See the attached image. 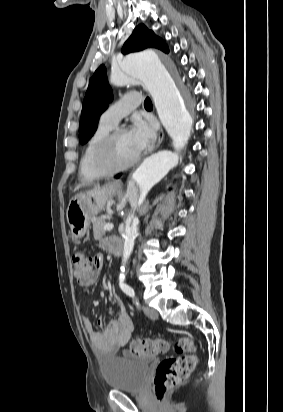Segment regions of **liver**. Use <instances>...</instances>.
<instances>
[{
    "label": "liver",
    "instance_id": "1",
    "mask_svg": "<svg viewBox=\"0 0 283 412\" xmlns=\"http://www.w3.org/2000/svg\"><path fill=\"white\" fill-rule=\"evenodd\" d=\"M80 188V186H78L76 189H79Z\"/></svg>",
    "mask_w": 283,
    "mask_h": 412
}]
</instances>
